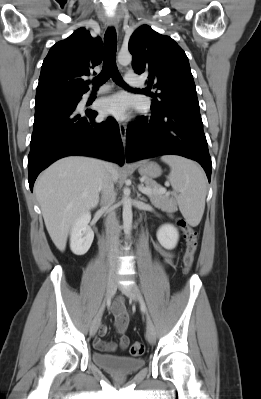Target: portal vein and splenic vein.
I'll list each match as a JSON object with an SVG mask.
<instances>
[{"label": "portal vein and splenic vein", "mask_w": 261, "mask_h": 399, "mask_svg": "<svg viewBox=\"0 0 261 399\" xmlns=\"http://www.w3.org/2000/svg\"><path fill=\"white\" fill-rule=\"evenodd\" d=\"M139 190L145 194H151V190L148 187H145L143 184L139 185ZM161 192H166V189L162 188Z\"/></svg>", "instance_id": "obj_1"}]
</instances>
